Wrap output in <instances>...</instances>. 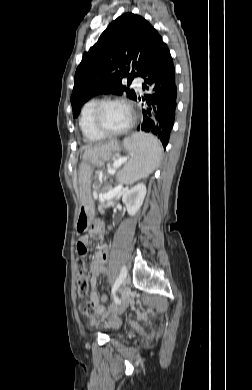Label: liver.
<instances>
[{
    "label": "liver",
    "mask_w": 252,
    "mask_h": 390,
    "mask_svg": "<svg viewBox=\"0 0 252 390\" xmlns=\"http://www.w3.org/2000/svg\"><path fill=\"white\" fill-rule=\"evenodd\" d=\"M104 146H106V144H105V145L101 144V145H96V146H87V147H85V151H87V150H92V149L102 148V147H104Z\"/></svg>",
    "instance_id": "liver-1"
}]
</instances>
